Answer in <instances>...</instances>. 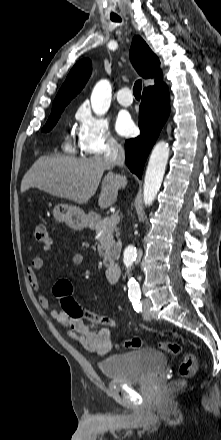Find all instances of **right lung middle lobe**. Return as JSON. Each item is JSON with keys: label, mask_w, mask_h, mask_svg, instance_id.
Returning <instances> with one entry per match:
<instances>
[{"label": "right lung middle lobe", "mask_w": 221, "mask_h": 440, "mask_svg": "<svg viewBox=\"0 0 221 440\" xmlns=\"http://www.w3.org/2000/svg\"><path fill=\"white\" fill-rule=\"evenodd\" d=\"M64 108H65L64 106H61V107H57V108L52 109L51 115H50L46 125L42 128L43 132H48L55 126V124L57 123L58 119L60 118V115L63 112Z\"/></svg>", "instance_id": "dd1d6c3e"}]
</instances>
